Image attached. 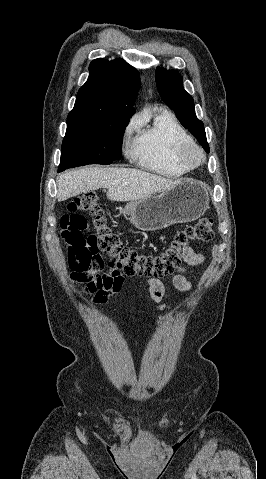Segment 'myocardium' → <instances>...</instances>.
I'll use <instances>...</instances> for the list:
<instances>
[{"label":"myocardium","mask_w":266,"mask_h":479,"mask_svg":"<svg viewBox=\"0 0 266 479\" xmlns=\"http://www.w3.org/2000/svg\"><path fill=\"white\" fill-rule=\"evenodd\" d=\"M179 160L191 168H197L205 161L204 151L194 142L181 145L177 152Z\"/></svg>","instance_id":"1"}]
</instances>
